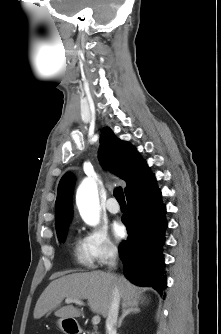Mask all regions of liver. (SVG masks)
<instances>
[{
    "label": "liver",
    "mask_w": 221,
    "mask_h": 334,
    "mask_svg": "<svg viewBox=\"0 0 221 334\" xmlns=\"http://www.w3.org/2000/svg\"><path fill=\"white\" fill-rule=\"evenodd\" d=\"M119 291L122 306L136 305L145 298L138 287L124 276L102 271L72 273L52 281L39 297L34 318L40 319L52 309H56L64 298L87 300L93 313L107 317L114 288ZM81 312L72 305L61 307L55 316L70 319L79 317Z\"/></svg>",
    "instance_id": "6515ba94"
}]
</instances>
